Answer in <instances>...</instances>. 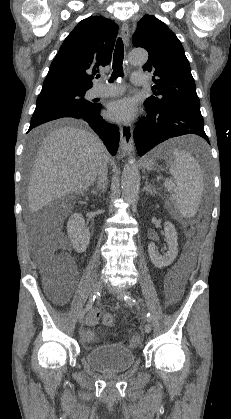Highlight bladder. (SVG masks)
<instances>
[{
  "label": "bladder",
  "mask_w": 231,
  "mask_h": 419,
  "mask_svg": "<svg viewBox=\"0 0 231 419\" xmlns=\"http://www.w3.org/2000/svg\"><path fill=\"white\" fill-rule=\"evenodd\" d=\"M85 361L89 367L101 373L125 372L136 362V356L129 348L109 343L86 351Z\"/></svg>",
  "instance_id": "bladder-1"
}]
</instances>
